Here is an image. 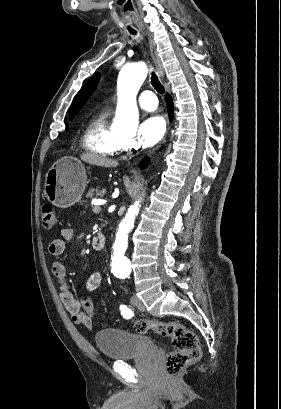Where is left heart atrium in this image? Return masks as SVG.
Listing matches in <instances>:
<instances>
[{"mask_svg": "<svg viewBox=\"0 0 281 409\" xmlns=\"http://www.w3.org/2000/svg\"><path fill=\"white\" fill-rule=\"evenodd\" d=\"M165 121L159 115H150L139 127L138 143L143 147L157 144L164 136Z\"/></svg>", "mask_w": 281, "mask_h": 409, "instance_id": "39dd6f15", "label": "left heart atrium"}]
</instances>
